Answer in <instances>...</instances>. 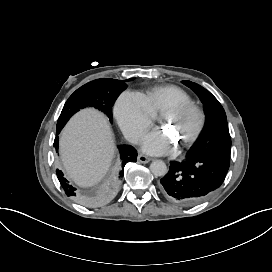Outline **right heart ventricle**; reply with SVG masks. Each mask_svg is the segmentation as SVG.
I'll return each mask as SVG.
<instances>
[{
	"label": "right heart ventricle",
	"instance_id": "right-heart-ventricle-1",
	"mask_svg": "<svg viewBox=\"0 0 272 272\" xmlns=\"http://www.w3.org/2000/svg\"><path fill=\"white\" fill-rule=\"evenodd\" d=\"M146 98L155 113L164 112L171 103H191L188 95L175 86L155 88L147 93Z\"/></svg>",
	"mask_w": 272,
	"mask_h": 272
}]
</instances>
